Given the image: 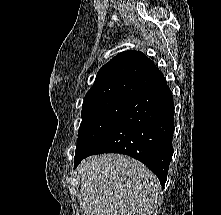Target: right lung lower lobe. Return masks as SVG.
Here are the masks:
<instances>
[{"instance_id": "right-lung-lower-lobe-1", "label": "right lung lower lobe", "mask_w": 221, "mask_h": 215, "mask_svg": "<svg viewBox=\"0 0 221 215\" xmlns=\"http://www.w3.org/2000/svg\"><path fill=\"white\" fill-rule=\"evenodd\" d=\"M172 92L165 79L133 98L106 133L84 156L101 153L129 155L144 163L164 186L172 155L174 129Z\"/></svg>"}]
</instances>
